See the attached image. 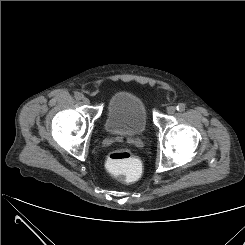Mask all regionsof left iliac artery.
I'll list each match as a JSON object with an SVG mask.
<instances>
[{
	"mask_svg": "<svg viewBox=\"0 0 245 245\" xmlns=\"http://www.w3.org/2000/svg\"><path fill=\"white\" fill-rule=\"evenodd\" d=\"M176 108L178 111L183 112L185 110L186 106L184 103H179Z\"/></svg>",
	"mask_w": 245,
	"mask_h": 245,
	"instance_id": "1",
	"label": "left iliac artery"
}]
</instances>
